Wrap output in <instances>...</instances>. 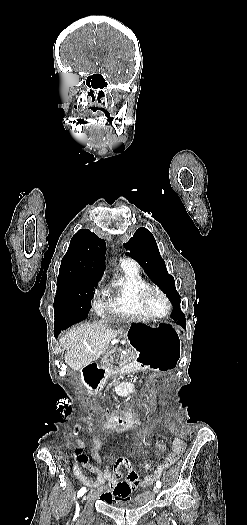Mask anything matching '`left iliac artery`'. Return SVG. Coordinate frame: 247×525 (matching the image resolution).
Wrapping results in <instances>:
<instances>
[{"instance_id": "left-iliac-artery-1", "label": "left iliac artery", "mask_w": 247, "mask_h": 525, "mask_svg": "<svg viewBox=\"0 0 247 525\" xmlns=\"http://www.w3.org/2000/svg\"><path fill=\"white\" fill-rule=\"evenodd\" d=\"M156 486H157L158 488H160V487H161V482H160V481H157V482H156Z\"/></svg>"}]
</instances>
